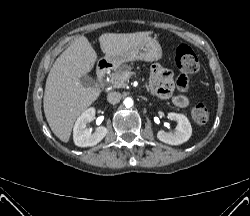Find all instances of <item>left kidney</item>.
<instances>
[{"label":"left kidney","instance_id":"1","mask_svg":"<svg viewBox=\"0 0 250 216\" xmlns=\"http://www.w3.org/2000/svg\"><path fill=\"white\" fill-rule=\"evenodd\" d=\"M170 120L176 121L175 132L167 133L163 130L157 133V138L169 145H180L189 140L192 135V127L188 118L179 113H168Z\"/></svg>","mask_w":250,"mask_h":216}]
</instances>
